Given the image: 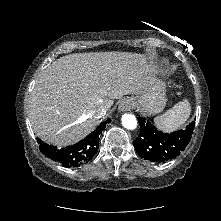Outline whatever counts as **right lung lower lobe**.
Instances as JSON below:
<instances>
[{"instance_id": "98d812e1", "label": "right lung lower lobe", "mask_w": 221, "mask_h": 221, "mask_svg": "<svg viewBox=\"0 0 221 221\" xmlns=\"http://www.w3.org/2000/svg\"><path fill=\"white\" fill-rule=\"evenodd\" d=\"M109 123L110 120L108 119ZM107 122L101 123L95 131L73 146L57 149L37 139L40 151L64 167H79L89 162L98 151L99 137Z\"/></svg>"}]
</instances>
